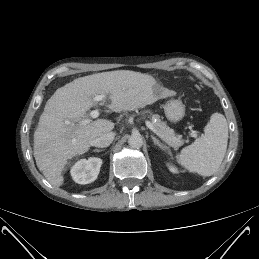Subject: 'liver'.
Wrapping results in <instances>:
<instances>
[{
  "mask_svg": "<svg viewBox=\"0 0 259 259\" xmlns=\"http://www.w3.org/2000/svg\"><path fill=\"white\" fill-rule=\"evenodd\" d=\"M158 92L152 76L129 70L80 77L58 88L47 101L34 132L38 169L53 186H61L67 161L86 153L94 139L114 128V123L106 119L82 123L87 119V111L97 104L96 95H109V109L121 112L143 108L158 98L175 95L169 90L161 95Z\"/></svg>",
  "mask_w": 259,
  "mask_h": 259,
  "instance_id": "1",
  "label": "liver"
}]
</instances>
